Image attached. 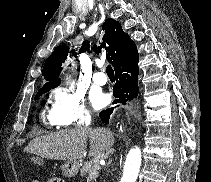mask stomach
<instances>
[{
    "label": "stomach",
    "instance_id": "0dacf381",
    "mask_svg": "<svg viewBox=\"0 0 211 182\" xmlns=\"http://www.w3.org/2000/svg\"><path fill=\"white\" fill-rule=\"evenodd\" d=\"M80 163L76 161H67L62 165V174L65 177H75L79 171Z\"/></svg>",
    "mask_w": 211,
    "mask_h": 182
}]
</instances>
